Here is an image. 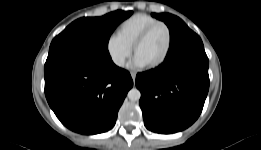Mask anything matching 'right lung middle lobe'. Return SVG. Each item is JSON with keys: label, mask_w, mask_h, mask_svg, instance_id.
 Instances as JSON below:
<instances>
[{"label": "right lung middle lobe", "mask_w": 261, "mask_h": 150, "mask_svg": "<svg viewBox=\"0 0 261 150\" xmlns=\"http://www.w3.org/2000/svg\"><path fill=\"white\" fill-rule=\"evenodd\" d=\"M131 14V11L117 10L102 17H83L74 21L53 39L48 56L58 53L110 56V35Z\"/></svg>", "instance_id": "right-lung-middle-lobe-1"}]
</instances>
